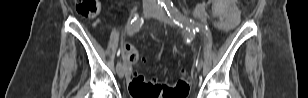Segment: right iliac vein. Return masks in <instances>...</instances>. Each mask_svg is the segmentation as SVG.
<instances>
[{"mask_svg":"<svg viewBox=\"0 0 308 98\" xmlns=\"http://www.w3.org/2000/svg\"><path fill=\"white\" fill-rule=\"evenodd\" d=\"M154 7L151 5H146L143 7V11L142 14L144 16H148L149 14H151L153 12ZM118 72V76L120 78H123L125 73H126V68L121 64L120 69L117 71Z\"/></svg>","mask_w":308,"mask_h":98,"instance_id":"right-iliac-vein-1","label":"right iliac vein"}]
</instances>
